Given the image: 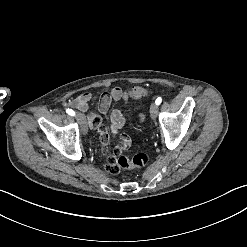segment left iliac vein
Segmentation results:
<instances>
[{"mask_svg":"<svg viewBox=\"0 0 247 247\" xmlns=\"http://www.w3.org/2000/svg\"><path fill=\"white\" fill-rule=\"evenodd\" d=\"M157 115H158L157 106L154 103H152L150 105V116L152 120H156Z\"/></svg>","mask_w":247,"mask_h":247,"instance_id":"4c4485c4","label":"left iliac vein"}]
</instances>
